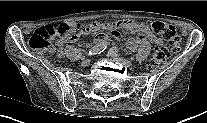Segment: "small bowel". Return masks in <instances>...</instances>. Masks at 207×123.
<instances>
[{
  "mask_svg": "<svg viewBox=\"0 0 207 123\" xmlns=\"http://www.w3.org/2000/svg\"><path fill=\"white\" fill-rule=\"evenodd\" d=\"M122 29L131 34H137L136 38H131L127 41L126 46L131 51H136L138 47L145 44L146 40H149L152 44L160 46L162 45V39L154 34L148 25L145 23H136L130 19H123L114 22H93L88 26L82 27L80 30V34L87 35L90 33H98L95 37L96 44H107L108 36L102 31H111L113 33L116 30ZM77 36L69 39L70 41H75ZM65 43V40L59 39L56 42L58 47H62Z\"/></svg>",
  "mask_w": 207,
  "mask_h": 123,
  "instance_id": "small-bowel-1",
  "label": "small bowel"
}]
</instances>
